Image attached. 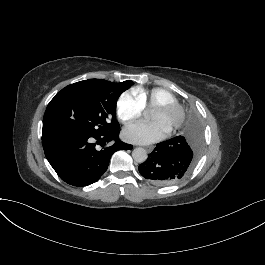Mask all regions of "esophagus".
<instances>
[{
	"label": "esophagus",
	"mask_w": 265,
	"mask_h": 265,
	"mask_svg": "<svg viewBox=\"0 0 265 265\" xmlns=\"http://www.w3.org/2000/svg\"><path fill=\"white\" fill-rule=\"evenodd\" d=\"M146 149L148 152H151L153 150V146L147 147Z\"/></svg>",
	"instance_id": "1"
}]
</instances>
